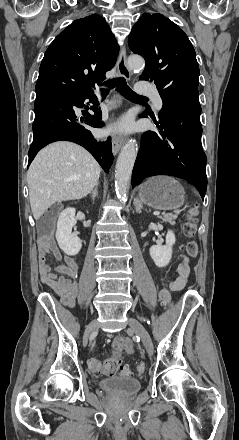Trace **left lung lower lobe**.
<instances>
[{
    "label": "left lung lower lobe",
    "mask_w": 239,
    "mask_h": 440,
    "mask_svg": "<svg viewBox=\"0 0 239 440\" xmlns=\"http://www.w3.org/2000/svg\"><path fill=\"white\" fill-rule=\"evenodd\" d=\"M162 100L159 122L154 121L159 130L147 131L141 136L132 185L145 177L172 175L194 183L204 199L207 159L201 145L199 98L190 94H173ZM140 117H147V113Z\"/></svg>",
    "instance_id": "0a47b994"
}]
</instances>
